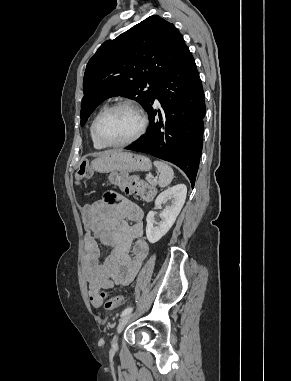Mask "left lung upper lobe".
I'll list each match as a JSON object with an SVG mask.
<instances>
[{
  "instance_id": "5c2ea615",
  "label": "left lung upper lobe",
  "mask_w": 291,
  "mask_h": 381,
  "mask_svg": "<svg viewBox=\"0 0 291 381\" xmlns=\"http://www.w3.org/2000/svg\"><path fill=\"white\" fill-rule=\"evenodd\" d=\"M187 49L182 34L158 15L105 41L85 70L81 125L98 104L113 96L136 100L146 110L157 85Z\"/></svg>"
}]
</instances>
